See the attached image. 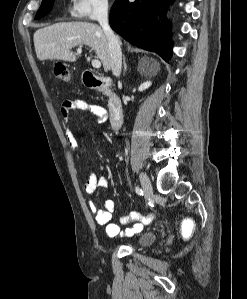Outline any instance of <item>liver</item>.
Wrapping results in <instances>:
<instances>
[{
    "label": "liver",
    "instance_id": "6515ba94",
    "mask_svg": "<svg viewBox=\"0 0 247 299\" xmlns=\"http://www.w3.org/2000/svg\"><path fill=\"white\" fill-rule=\"evenodd\" d=\"M34 46L40 61L62 60L75 62L76 56L72 48L78 45L91 47L101 60L104 71L110 69L108 40L103 29L90 22H63L38 29L34 33ZM153 72L160 69L154 59H144Z\"/></svg>",
    "mask_w": 247,
    "mask_h": 299
}]
</instances>
